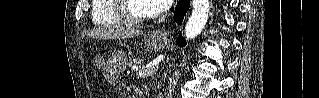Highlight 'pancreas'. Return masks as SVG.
I'll return each mask as SVG.
<instances>
[{"label":"pancreas","instance_id":"pancreas-1","mask_svg":"<svg viewBox=\"0 0 319 98\" xmlns=\"http://www.w3.org/2000/svg\"><path fill=\"white\" fill-rule=\"evenodd\" d=\"M143 62V59L140 58H135L132 61H130L129 66L131 67L132 65H140Z\"/></svg>","mask_w":319,"mask_h":98}]
</instances>
